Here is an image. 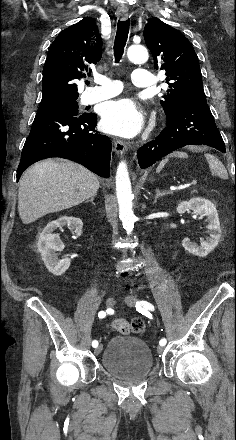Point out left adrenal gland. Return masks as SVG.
Returning a JSON list of instances; mask_svg holds the SVG:
<instances>
[{"mask_svg": "<svg viewBox=\"0 0 236 440\" xmlns=\"http://www.w3.org/2000/svg\"><path fill=\"white\" fill-rule=\"evenodd\" d=\"M167 194H171V192L170 191H163V192H161L159 189H156V195H155L154 203L157 202V199L159 197H162L163 195H167Z\"/></svg>", "mask_w": 236, "mask_h": 440, "instance_id": "obj_1", "label": "left adrenal gland"}]
</instances>
